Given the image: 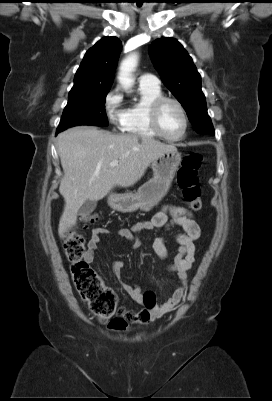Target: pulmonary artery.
<instances>
[{
  "label": "pulmonary artery",
  "instance_id": "obj_1",
  "mask_svg": "<svg viewBox=\"0 0 272 401\" xmlns=\"http://www.w3.org/2000/svg\"><path fill=\"white\" fill-rule=\"evenodd\" d=\"M159 79L152 74H143L139 77V85L145 87H159Z\"/></svg>",
  "mask_w": 272,
  "mask_h": 401
}]
</instances>
